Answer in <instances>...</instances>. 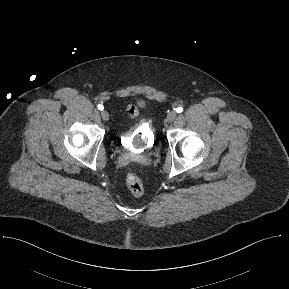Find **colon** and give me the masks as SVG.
<instances>
[{"instance_id": "5ec220e1", "label": "colon", "mask_w": 289, "mask_h": 289, "mask_svg": "<svg viewBox=\"0 0 289 289\" xmlns=\"http://www.w3.org/2000/svg\"><path fill=\"white\" fill-rule=\"evenodd\" d=\"M142 106V101H138L129 106L128 116L131 121L136 120L138 116V108ZM146 135L147 129L145 127H135L122 136L121 140L123 146L132 152V155L124 160L125 164H129L132 160L137 158L138 148L142 144V140ZM124 181L127 188L133 195L139 196L143 193L141 179L134 172L127 171L124 175Z\"/></svg>"}]
</instances>
